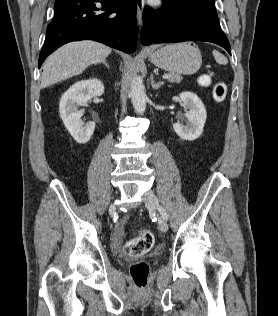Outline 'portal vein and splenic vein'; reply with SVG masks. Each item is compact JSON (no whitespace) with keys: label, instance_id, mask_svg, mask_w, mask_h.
Returning <instances> with one entry per match:
<instances>
[{"label":"portal vein and splenic vein","instance_id":"18ae733b","mask_svg":"<svg viewBox=\"0 0 278 316\" xmlns=\"http://www.w3.org/2000/svg\"><path fill=\"white\" fill-rule=\"evenodd\" d=\"M171 77V74H165L163 75V79H169Z\"/></svg>","mask_w":278,"mask_h":316}]
</instances>
